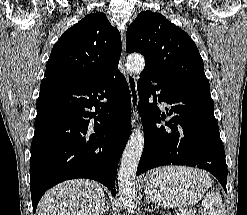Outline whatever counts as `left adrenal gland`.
Segmentation results:
<instances>
[{
	"label": "left adrenal gland",
	"mask_w": 247,
	"mask_h": 215,
	"mask_svg": "<svg viewBox=\"0 0 247 215\" xmlns=\"http://www.w3.org/2000/svg\"><path fill=\"white\" fill-rule=\"evenodd\" d=\"M146 202L150 204L149 198L146 196Z\"/></svg>",
	"instance_id": "left-adrenal-gland-1"
}]
</instances>
